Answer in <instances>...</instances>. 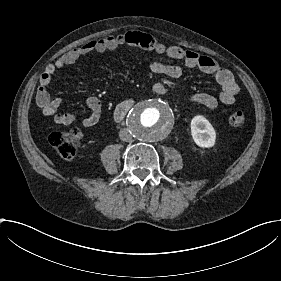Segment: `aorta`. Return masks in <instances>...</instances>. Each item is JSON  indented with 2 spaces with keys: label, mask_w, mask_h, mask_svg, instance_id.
I'll use <instances>...</instances> for the list:
<instances>
[{
  "label": "aorta",
  "mask_w": 281,
  "mask_h": 281,
  "mask_svg": "<svg viewBox=\"0 0 281 281\" xmlns=\"http://www.w3.org/2000/svg\"><path fill=\"white\" fill-rule=\"evenodd\" d=\"M127 124L130 133L138 140L155 142L164 139L171 132L174 115L166 103L149 99L137 103L131 109Z\"/></svg>",
  "instance_id": "aorta-1"
}]
</instances>
